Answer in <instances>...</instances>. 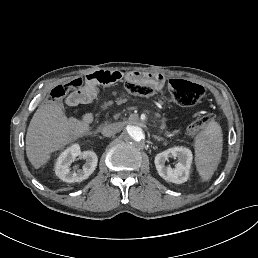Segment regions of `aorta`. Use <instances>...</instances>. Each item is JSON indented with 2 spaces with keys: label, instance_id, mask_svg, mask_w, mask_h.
<instances>
[{
  "label": "aorta",
  "instance_id": "obj_1",
  "mask_svg": "<svg viewBox=\"0 0 258 258\" xmlns=\"http://www.w3.org/2000/svg\"><path fill=\"white\" fill-rule=\"evenodd\" d=\"M126 138L130 141L140 142L144 138V132L137 125H129L126 128Z\"/></svg>",
  "mask_w": 258,
  "mask_h": 258
}]
</instances>
